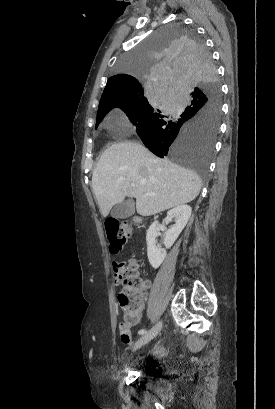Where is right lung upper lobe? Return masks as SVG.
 <instances>
[{
  "label": "right lung upper lobe",
  "mask_w": 275,
  "mask_h": 409,
  "mask_svg": "<svg viewBox=\"0 0 275 409\" xmlns=\"http://www.w3.org/2000/svg\"><path fill=\"white\" fill-rule=\"evenodd\" d=\"M134 96H143V87L137 79L126 74L112 76L107 81L99 103L98 112L118 101L133 98Z\"/></svg>",
  "instance_id": "1"
}]
</instances>
